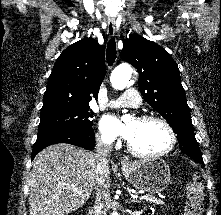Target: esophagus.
<instances>
[{"instance_id": "esophagus-1", "label": "esophagus", "mask_w": 221, "mask_h": 215, "mask_svg": "<svg viewBox=\"0 0 221 215\" xmlns=\"http://www.w3.org/2000/svg\"><path fill=\"white\" fill-rule=\"evenodd\" d=\"M107 34L110 36V37H113L114 34H115V23L112 19H108V22H107ZM121 162L122 164H126L129 162V158L127 156H124L121 158Z\"/></svg>"}]
</instances>
